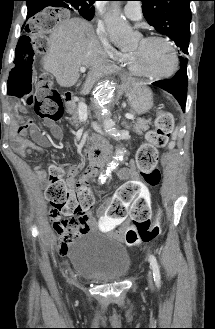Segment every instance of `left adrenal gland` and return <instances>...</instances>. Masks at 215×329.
<instances>
[{"label": "left adrenal gland", "mask_w": 215, "mask_h": 329, "mask_svg": "<svg viewBox=\"0 0 215 329\" xmlns=\"http://www.w3.org/2000/svg\"><path fill=\"white\" fill-rule=\"evenodd\" d=\"M122 125H127L125 121L122 122Z\"/></svg>", "instance_id": "1"}]
</instances>
